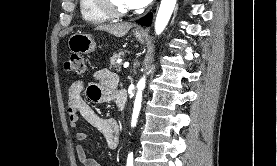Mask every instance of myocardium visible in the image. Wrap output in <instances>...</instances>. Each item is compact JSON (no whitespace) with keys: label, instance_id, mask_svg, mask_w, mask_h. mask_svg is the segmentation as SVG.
Segmentation results:
<instances>
[{"label":"myocardium","instance_id":"f54148a6","mask_svg":"<svg viewBox=\"0 0 277 166\" xmlns=\"http://www.w3.org/2000/svg\"><path fill=\"white\" fill-rule=\"evenodd\" d=\"M94 6L102 13L112 19H119L130 14V10H120L112 2V0H92Z\"/></svg>","mask_w":277,"mask_h":166}]
</instances>
